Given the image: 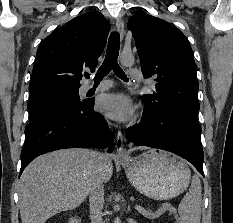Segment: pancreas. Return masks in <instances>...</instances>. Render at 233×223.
I'll return each mask as SVG.
<instances>
[{"label": "pancreas", "mask_w": 233, "mask_h": 223, "mask_svg": "<svg viewBox=\"0 0 233 223\" xmlns=\"http://www.w3.org/2000/svg\"><path fill=\"white\" fill-rule=\"evenodd\" d=\"M169 209L171 211V213H176L177 209L176 207H171V205H169ZM157 211H160V213H163V211H165L164 207H160V209H157ZM151 219H154V217H151Z\"/></svg>", "instance_id": "obj_1"}]
</instances>
